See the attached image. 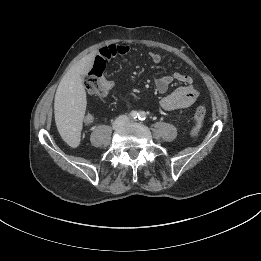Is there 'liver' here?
Here are the masks:
<instances>
[{
    "label": "liver",
    "instance_id": "1",
    "mask_svg": "<svg viewBox=\"0 0 261 261\" xmlns=\"http://www.w3.org/2000/svg\"><path fill=\"white\" fill-rule=\"evenodd\" d=\"M94 58V54H89L74 64L57 88L54 114L58 131L63 137H68L81 128L87 104L81 76L91 70Z\"/></svg>",
    "mask_w": 261,
    "mask_h": 261
}]
</instances>
